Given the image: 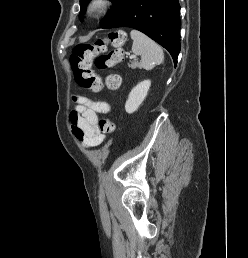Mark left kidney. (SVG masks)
<instances>
[{"label": "left kidney", "instance_id": "5707ae66", "mask_svg": "<svg viewBox=\"0 0 248 258\" xmlns=\"http://www.w3.org/2000/svg\"><path fill=\"white\" fill-rule=\"evenodd\" d=\"M150 85V80H144L138 83L136 87L131 90L125 104V110L127 113L131 114L139 108L147 96Z\"/></svg>", "mask_w": 248, "mask_h": 258}]
</instances>
